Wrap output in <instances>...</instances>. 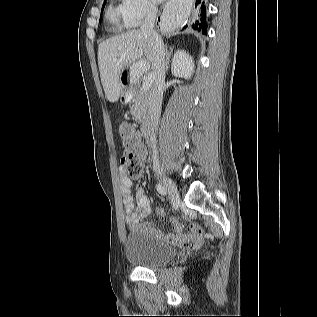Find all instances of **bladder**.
Returning <instances> with one entry per match:
<instances>
[{
  "instance_id": "1",
  "label": "bladder",
  "mask_w": 317,
  "mask_h": 317,
  "mask_svg": "<svg viewBox=\"0 0 317 317\" xmlns=\"http://www.w3.org/2000/svg\"><path fill=\"white\" fill-rule=\"evenodd\" d=\"M124 253L128 262L145 268H159L174 260L177 248L156 240L142 228H134L124 241Z\"/></svg>"
}]
</instances>
